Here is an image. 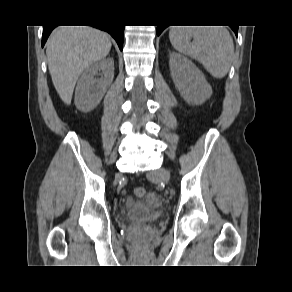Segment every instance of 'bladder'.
Wrapping results in <instances>:
<instances>
[{
    "mask_svg": "<svg viewBox=\"0 0 292 292\" xmlns=\"http://www.w3.org/2000/svg\"><path fill=\"white\" fill-rule=\"evenodd\" d=\"M161 208L159 197L152 193L141 201L127 204L125 217L130 221H153L158 218Z\"/></svg>",
    "mask_w": 292,
    "mask_h": 292,
    "instance_id": "1",
    "label": "bladder"
}]
</instances>
